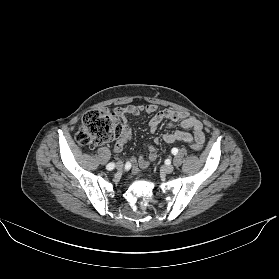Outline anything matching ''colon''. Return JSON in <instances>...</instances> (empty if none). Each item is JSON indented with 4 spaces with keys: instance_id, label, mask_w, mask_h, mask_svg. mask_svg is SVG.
Returning a JSON list of instances; mask_svg holds the SVG:
<instances>
[{
    "instance_id": "1",
    "label": "colon",
    "mask_w": 279,
    "mask_h": 279,
    "mask_svg": "<svg viewBox=\"0 0 279 279\" xmlns=\"http://www.w3.org/2000/svg\"><path fill=\"white\" fill-rule=\"evenodd\" d=\"M125 126L117 111L95 109L86 112L76 134V140L82 145L97 146L120 137ZM195 151H201L202 145L188 143Z\"/></svg>"
}]
</instances>
